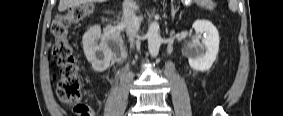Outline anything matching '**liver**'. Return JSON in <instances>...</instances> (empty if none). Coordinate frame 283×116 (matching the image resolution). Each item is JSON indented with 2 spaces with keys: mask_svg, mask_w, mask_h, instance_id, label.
<instances>
[{
  "mask_svg": "<svg viewBox=\"0 0 283 116\" xmlns=\"http://www.w3.org/2000/svg\"><path fill=\"white\" fill-rule=\"evenodd\" d=\"M83 0H60L58 10L63 12L70 7L76 6L81 3Z\"/></svg>",
  "mask_w": 283,
  "mask_h": 116,
  "instance_id": "6515ba94",
  "label": "liver"
}]
</instances>
